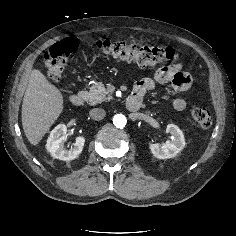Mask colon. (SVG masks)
Listing matches in <instances>:
<instances>
[{
	"mask_svg": "<svg viewBox=\"0 0 236 236\" xmlns=\"http://www.w3.org/2000/svg\"><path fill=\"white\" fill-rule=\"evenodd\" d=\"M77 47L78 41L75 38H66L54 44L45 52L46 73L51 82L58 83L62 79L68 57ZM96 47L107 57L134 62L140 67L174 62L178 57L171 47L111 41L109 39L98 40ZM192 117L201 128L207 129L212 125V113L205 106L195 107L192 111Z\"/></svg>",
	"mask_w": 236,
	"mask_h": 236,
	"instance_id": "colon-1",
	"label": "colon"
}]
</instances>
